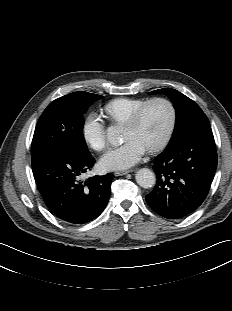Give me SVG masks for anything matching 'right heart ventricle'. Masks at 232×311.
I'll return each instance as SVG.
<instances>
[{"label": "right heart ventricle", "instance_id": "1", "mask_svg": "<svg viewBox=\"0 0 232 311\" xmlns=\"http://www.w3.org/2000/svg\"><path fill=\"white\" fill-rule=\"evenodd\" d=\"M148 98L119 97L109 101L104 111L113 126H124Z\"/></svg>", "mask_w": 232, "mask_h": 311}]
</instances>
